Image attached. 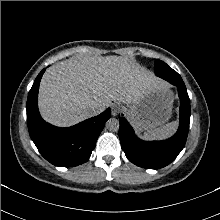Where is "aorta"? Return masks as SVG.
<instances>
[{
    "mask_svg": "<svg viewBox=\"0 0 220 220\" xmlns=\"http://www.w3.org/2000/svg\"><path fill=\"white\" fill-rule=\"evenodd\" d=\"M119 121L115 118H110L107 122H106V127L108 130L110 131H118L119 130Z\"/></svg>",
    "mask_w": 220,
    "mask_h": 220,
    "instance_id": "762f6f07",
    "label": "aorta"
}]
</instances>
